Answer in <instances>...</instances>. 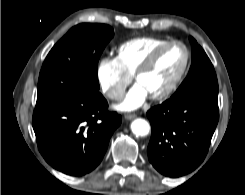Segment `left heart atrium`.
<instances>
[{
    "instance_id": "obj_1",
    "label": "left heart atrium",
    "mask_w": 245,
    "mask_h": 195,
    "mask_svg": "<svg viewBox=\"0 0 245 195\" xmlns=\"http://www.w3.org/2000/svg\"><path fill=\"white\" fill-rule=\"evenodd\" d=\"M147 96L148 94L145 89L140 84L136 83L117 108L122 111L134 110L142 105Z\"/></svg>"
}]
</instances>
